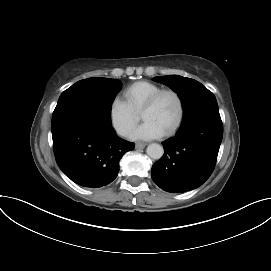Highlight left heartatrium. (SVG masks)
<instances>
[{
  "label": "left heart atrium",
  "mask_w": 271,
  "mask_h": 271,
  "mask_svg": "<svg viewBox=\"0 0 271 271\" xmlns=\"http://www.w3.org/2000/svg\"><path fill=\"white\" fill-rule=\"evenodd\" d=\"M164 131L153 121L145 120L132 134V139L151 140L160 138L164 135Z\"/></svg>",
  "instance_id": "obj_1"
}]
</instances>
